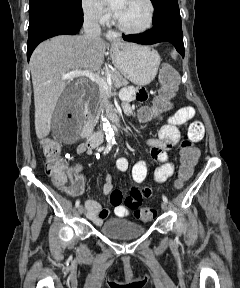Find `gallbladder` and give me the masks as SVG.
<instances>
[{"label": "gallbladder", "mask_w": 240, "mask_h": 288, "mask_svg": "<svg viewBox=\"0 0 240 288\" xmlns=\"http://www.w3.org/2000/svg\"><path fill=\"white\" fill-rule=\"evenodd\" d=\"M80 110L81 104L75 93L71 91V86H68L57 101L52 114V122L65 119L68 114H77Z\"/></svg>", "instance_id": "gallbladder-1"}]
</instances>
